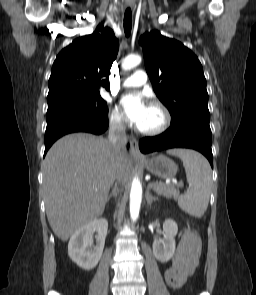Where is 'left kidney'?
Returning <instances> with one entry per match:
<instances>
[{
    "instance_id": "obj_1",
    "label": "left kidney",
    "mask_w": 256,
    "mask_h": 295,
    "mask_svg": "<svg viewBox=\"0 0 256 295\" xmlns=\"http://www.w3.org/2000/svg\"><path fill=\"white\" fill-rule=\"evenodd\" d=\"M163 231L165 233L162 240H154L153 242V254L156 259L162 263L168 262L175 252V236L178 232V226L172 219L165 220L163 224Z\"/></svg>"
}]
</instances>
